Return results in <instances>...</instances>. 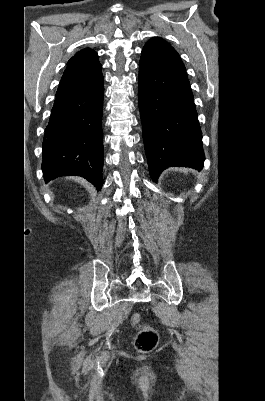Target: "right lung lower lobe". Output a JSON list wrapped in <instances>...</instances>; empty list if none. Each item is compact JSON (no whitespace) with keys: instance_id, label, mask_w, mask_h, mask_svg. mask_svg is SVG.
Masks as SVG:
<instances>
[{"instance_id":"obj_1","label":"right lung lower lobe","mask_w":265,"mask_h":401,"mask_svg":"<svg viewBox=\"0 0 265 401\" xmlns=\"http://www.w3.org/2000/svg\"><path fill=\"white\" fill-rule=\"evenodd\" d=\"M103 80L96 87L55 98L42 146L45 182L60 176L103 184Z\"/></svg>"}]
</instances>
